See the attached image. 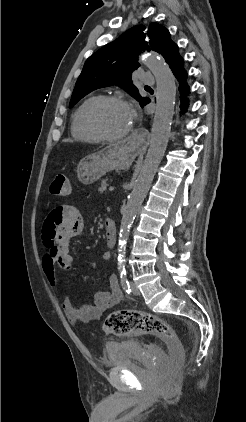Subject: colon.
<instances>
[{
    "mask_svg": "<svg viewBox=\"0 0 246 422\" xmlns=\"http://www.w3.org/2000/svg\"><path fill=\"white\" fill-rule=\"evenodd\" d=\"M70 182L65 174H58L50 185V193L54 196H67ZM107 334L122 336L130 333L149 334L165 342L170 350L173 364L183 360V347L173 327L164 319L135 310H121L110 313L103 324Z\"/></svg>",
    "mask_w": 246,
    "mask_h": 422,
    "instance_id": "obj_1",
    "label": "colon"
}]
</instances>
